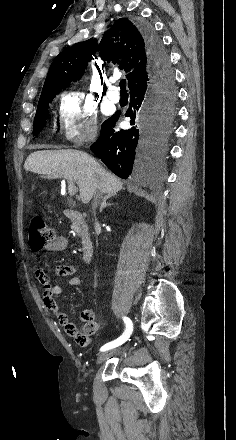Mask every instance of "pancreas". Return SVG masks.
I'll return each mask as SVG.
<instances>
[{"mask_svg":"<svg viewBox=\"0 0 236 440\" xmlns=\"http://www.w3.org/2000/svg\"><path fill=\"white\" fill-rule=\"evenodd\" d=\"M73 229H74L76 232H78V228H77V227H74Z\"/></svg>","mask_w":236,"mask_h":440,"instance_id":"1","label":"pancreas"}]
</instances>
